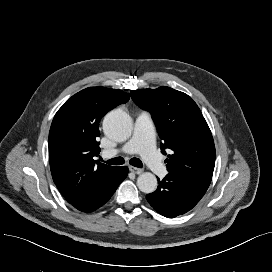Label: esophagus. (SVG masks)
<instances>
[{
    "label": "esophagus",
    "instance_id": "1",
    "mask_svg": "<svg viewBox=\"0 0 272 272\" xmlns=\"http://www.w3.org/2000/svg\"><path fill=\"white\" fill-rule=\"evenodd\" d=\"M129 170L135 174H141L143 172V169L137 168V167H133V166H129Z\"/></svg>",
    "mask_w": 272,
    "mask_h": 272
}]
</instances>
